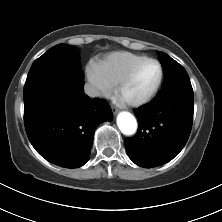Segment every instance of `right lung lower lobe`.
I'll return each mask as SVG.
<instances>
[{"label":"right lung lower lobe","mask_w":222,"mask_h":222,"mask_svg":"<svg viewBox=\"0 0 222 222\" xmlns=\"http://www.w3.org/2000/svg\"><path fill=\"white\" fill-rule=\"evenodd\" d=\"M80 89L73 100L37 98L24 103V123L29 141L50 163L78 168L89 159L96 127L113 118L102 99L93 101Z\"/></svg>","instance_id":"1"}]
</instances>
